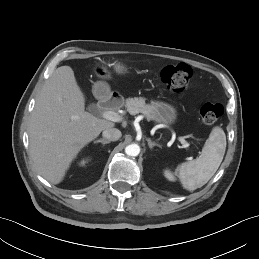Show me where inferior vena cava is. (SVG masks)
Here are the masks:
<instances>
[{"instance_id":"1","label":"inferior vena cava","mask_w":259,"mask_h":259,"mask_svg":"<svg viewBox=\"0 0 259 259\" xmlns=\"http://www.w3.org/2000/svg\"><path fill=\"white\" fill-rule=\"evenodd\" d=\"M103 137L109 141H117L121 137V131L116 128L105 129L102 133Z\"/></svg>"}]
</instances>
